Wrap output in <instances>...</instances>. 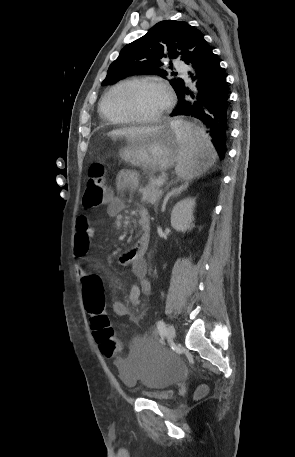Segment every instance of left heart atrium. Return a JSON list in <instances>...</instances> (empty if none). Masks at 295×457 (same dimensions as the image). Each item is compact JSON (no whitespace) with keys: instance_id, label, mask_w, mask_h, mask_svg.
Segmentation results:
<instances>
[{"instance_id":"39dd6f15","label":"left heart atrium","mask_w":295,"mask_h":457,"mask_svg":"<svg viewBox=\"0 0 295 457\" xmlns=\"http://www.w3.org/2000/svg\"><path fill=\"white\" fill-rule=\"evenodd\" d=\"M165 91V90H164ZM166 98L168 99V93L165 91Z\"/></svg>"}]
</instances>
